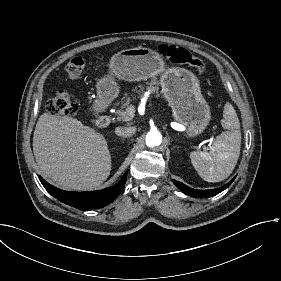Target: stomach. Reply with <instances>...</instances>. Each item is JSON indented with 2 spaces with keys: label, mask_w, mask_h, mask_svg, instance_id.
Returning <instances> with one entry per match:
<instances>
[{
  "label": "stomach",
  "mask_w": 281,
  "mask_h": 281,
  "mask_svg": "<svg viewBox=\"0 0 281 281\" xmlns=\"http://www.w3.org/2000/svg\"><path fill=\"white\" fill-rule=\"evenodd\" d=\"M109 69L108 75L97 80V98L93 104L96 113L105 111L118 97L120 87L115 77L133 82L160 74L163 97L175 120L187 126V136L195 137L209 125L210 108L201 94L199 79L184 68H165L156 51L144 47L122 50L111 57Z\"/></svg>",
  "instance_id": "0dacf381"
}]
</instances>
